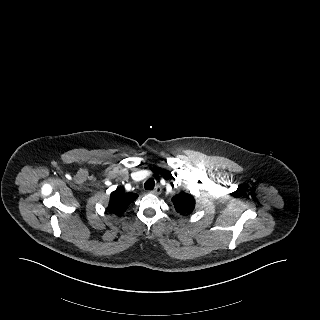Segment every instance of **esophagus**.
<instances>
[{
  "mask_svg": "<svg viewBox=\"0 0 320 320\" xmlns=\"http://www.w3.org/2000/svg\"><path fill=\"white\" fill-rule=\"evenodd\" d=\"M150 193L156 194V195L160 194L161 193V187L159 185H156L154 187V189L150 191Z\"/></svg>",
  "mask_w": 320,
  "mask_h": 320,
  "instance_id": "1",
  "label": "esophagus"
}]
</instances>
